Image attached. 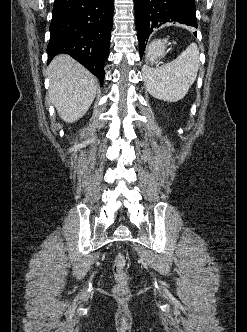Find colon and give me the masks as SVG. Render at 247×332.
Returning a JSON list of instances; mask_svg holds the SVG:
<instances>
[{
  "mask_svg": "<svg viewBox=\"0 0 247 332\" xmlns=\"http://www.w3.org/2000/svg\"><path fill=\"white\" fill-rule=\"evenodd\" d=\"M126 262V256L123 253H118L114 259L112 267L115 278L113 292L121 297L129 294L128 276L125 272Z\"/></svg>",
  "mask_w": 247,
  "mask_h": 332,
  "instance_id": "obj_1",
  "label": "colon"
}]
</instances>
